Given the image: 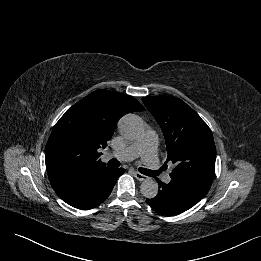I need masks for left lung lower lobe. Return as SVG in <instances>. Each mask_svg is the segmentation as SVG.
Wrapping results in <instances>:
<instances>
[{
    "label": "left lung lower lobe",
    "instance_id": "obj_1",
    "mask_svg": "<svg viewBox=\"0 0 261 261\" xmlns=\"http://www.w3.org/2000/svg\"><path fill=\"white\" fill-rule=\"evenodd\" d=\"M156 180L160 188L158 194L146 202L153 210L163 215H176L190 209L210 189L209 185L192 179H172L168 184Z\"/></svg>",
    "mask_w": 261,
    "mask_h": 261
}]
</instances>
